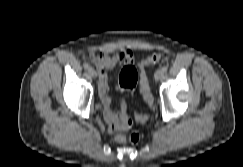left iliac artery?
Returning <instances> with one entry per match:
<instances>
[{
	"label": "left iliac artery",
	"instance_id": "44dca946",
	"mask_svg": "<svg viewBox=\"0 0 243 167\" xmlns=\"http://www.w3.org/2000/svg\"><path fill=\"white\" fill-rule=\"evenodd\" d=\"M167 70H168V66L165 65V66L162 67V71H163L164 73H166Z\"/></svg>",
	"mask_w": 243,
	"mask_h": 167
}]
</instances>
